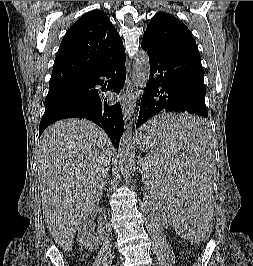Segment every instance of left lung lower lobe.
I'll use <instances>...</instances> for the list:
<instances>
[{"instance_id":"left-lung-lower-lobe-1","label":"left lung lower lobe","mask_w":253,"mask_h":266,"mask_svg":"<svg viewBox=\"0 0 253 266\" xmlns=\"http://www.w3.org/2000/svg\"><path fill=\"white\" fill-rule=\"evenodd\" d=\"M141 47L150 62V77L142 97L136 128L151 117L166 112H188L208 117L205 106L204 69L198 51L172 43H159L143 38ZM207 129L205 120L177 125L160 124L147 132L151 139L172 135L195 139Z\"/></svg>"}]
</instances>
